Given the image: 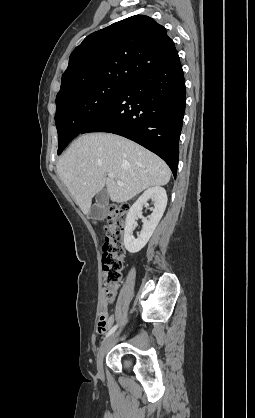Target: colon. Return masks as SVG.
Segmentation results:
<instances>
[{
  "instance_id": "5ec220e1",
  "label": "colon",
  "mask_w": 255,
  "mask_h": 418,
  "mask_svg": "<svg viewBox=\"0 0 255 418\" xmlns=\"http://www.w3.org/2000/svg\"><path fill=\"white\" fill-rule=\"evenodd\" d=\"M129 205L113 203L107 206L105 218L106 238L102 246V283L104 294L111 299L115 294V285L120 281L124 268L125 249L123 236L126 226ZM106 326V315L101 313L98 319V329Z\"/></svg>"
}]
</instances>
